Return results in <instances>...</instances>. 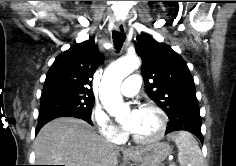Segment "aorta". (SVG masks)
<instances>
[{
    "mask_svg": "<svg viewBox=\"0 0 236 166\" xmlns=\"http://www.w3.org/2000/svg\"><path fill=\"white\" fill-rule=\"evenodd\" d=\"M139 66L136 56H127L112 63L105 71L99 89L100 100L106 111L112 116H120L129 111L128 104L123 102L120 84Z\"/></svg>",
    "mask_w": 236,
    "mask_h": 166,
    "instance_id": "aorta-1",
    "label": "aorta"
}]
</instances>
